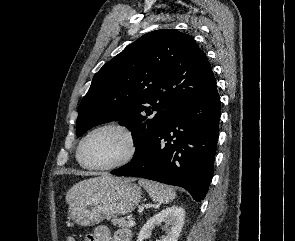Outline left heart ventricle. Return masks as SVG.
I'll use <instances>...</instances> for the list:
<instances>
[{
	"mask_svg": "<svg viewBox=\"0 0 295 241\" xmlns=\"http://www.w3.org/2000/svg\"><path fill=\"white\" fill-rule=\"evenodd\" d=\"M128 151L125 136L115 129L95 132L86 141L82 158L89 165L104 166L121 160Z\"/></svg>",
	"mask_w": 295,
	"mask_h": 241,
	"instance_id": "b2bd125f",
	"label": "left heart ventricle"
}]
</instances>
